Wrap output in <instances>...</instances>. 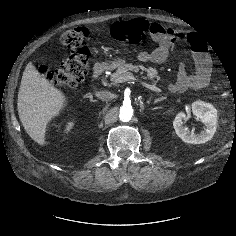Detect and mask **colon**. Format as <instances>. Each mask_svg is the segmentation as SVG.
<instances>
[{
	"label": "colon",
	"instance_id": "obj_1",
	"mask_svg": "<svg viewBox=\"0 0 236 236\" xmlns=\"http://www.w3.org/2000/svg\"><path fill=\"white\" fill-rule=\"evenodd\" d=\"M150 29V24L142 19H133L115 23L111 28V36L120 42L128 44H139L144 41L146 33ZM89 32L84 27H76L66 30L61 34V43L70 48L73 52L60 64L54 71H48L44 66L40 71L55 85L72 90L76 88L85 78L88 70L89 50L86 42ZM231 90L234 87L233 82L226 84L219 81L216 89L223 87Z\"/></svg>",
	"mask_w": 236,
	"mask_h": 236
}]
</instances>
